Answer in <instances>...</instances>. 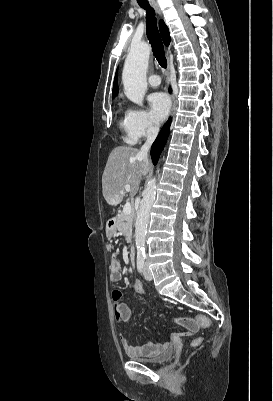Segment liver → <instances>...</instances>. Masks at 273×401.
<instances>
[{
	"label": "liver",
	"mask_w": 273,
	"mask_h": 401,
	"mask_svg": "<svg viewBox=\"0 0 273 401\" xmlns=\"http://www.w3.org/2000/svg\"><path fill=\"white\" fill-rule=\"evenodd\" d=\"M147 164L142 160L138 148L132 146H116L108 156L102 176V192L108 205H119L123 201L121 190L126 184L131 186V196L139 188L141 174Z\"/></svg>",
	"instance_id": "6515ba94"
}]
</instances>
